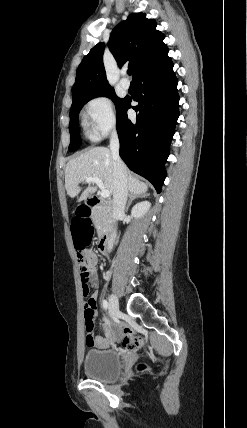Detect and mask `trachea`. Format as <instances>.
Listing matches in <instances>:
<instances>
[{
	"label": "trachea",
	"mask_w": 247,
	"mask_h": 428,
	"mask_svg": "<svg viewBox=\"0 0 247 428\" xmlns=\"http://www.w3.org/2000/svg\"><path fill=\"white\" fill-rule=\"evenodd\" d=\"M127 73H128V75H131V70H128Z\"/></svg>",
	"instance_id": "1"
}]
</instances>
